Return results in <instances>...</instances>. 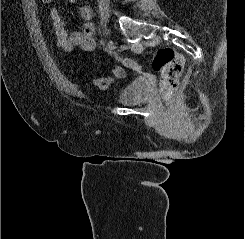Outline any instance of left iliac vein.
<instances>
[{
    "instance_id": "1",
    "label": "left iliac vein",
    "mask_w": 245,
    "mask_h": 239,
    "mask_svg": "<svg viewBox=\"0 0 245 239\" xmlns=\"http://www.w3.org/2000/svg\"><path fill=\"white\" fill-rule=\"evenodd\" d=\"M114 48H115L114 42H113V40L110 39V40L107 42V49H108L109 52H111Z\"/></svg>"
}]
</instances>
